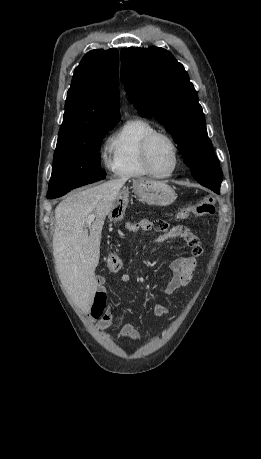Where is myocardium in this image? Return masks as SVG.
I'll return each instance as SVG.
<instances>
[{
    "mask_svg": "<svg viewBox=\"0 0 261 459\" xmlns=\"http://www.w3.org/2000/svg\"><path fill=\"white\" fill-rule=\"evenodd\" d=\"M158 138H164L166 139L172 146L173 152H174V166L173 168L167 172V173H158L156 172L152 165H151V160H150V154H151V147L154 143V141ZM141 156H142V162L144 164V167L148 171V173L156 178H167L172 176L176 170L178 169L179 163H180V153H179V147L174 138L169 135L168 133L161 132V131H154L150 133L146 138L143 140L142 147H141Z\"/></svg>",
    "mask_w": 261,
    "mask_h": 459,
    "instance_id": "myocardium-1",
    "label": "myocardium"
}]
</instances>
